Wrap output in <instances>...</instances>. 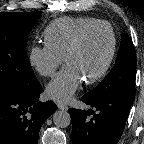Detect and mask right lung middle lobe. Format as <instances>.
Returning <instances> with one entry per match:
<instances>
[{
  "mask_svg": "<svg viewBox=\"0 0 144 144\" xmlns=\"http://www.w3.org/2000/svg\"><path fill=\"white\" fill-rule=\"evenodd\" d=\"M41 12L0 13V88H33L38 80L27 59L26 41Z\"/></svg>",
  "mask_w": 144,
  "mask_h": 144,
  "instance_id": "obj_1",
  "label": "right lung middle lobe"
}]
</instances>
